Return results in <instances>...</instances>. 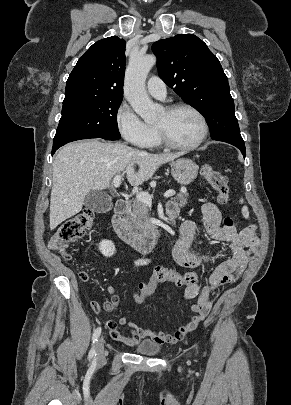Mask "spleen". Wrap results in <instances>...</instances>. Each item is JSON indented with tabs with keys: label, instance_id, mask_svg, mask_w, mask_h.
<instances>
[{
	"label": "spleen",
	"instance_id": "1",
	"mask_svg": "<svg viewBox=\"0 0 291 405\" xmlns=\"http://www.w3.org/2000/svg\"><path fill=\"white\" fill-rule=\"evenodd\" d=\"M240 203H243V199H240ZM242 213L244 217H248V208L244 206L242 208Z\"/></svg>",
	"mask_w": 291,
	"mask_h": 405
}]
</instances>
